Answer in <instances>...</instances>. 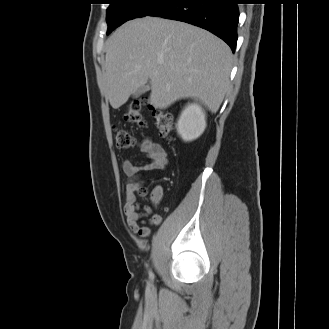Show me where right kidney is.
Wrapping results in <instances>:
<instances>
[{"mask_svg": "<svg viewBox=\"0 0 329 329\" xmlns=\"http://www.w3.org/2000/svg\"><path fill=\"white\" fill-rule=\"evenodd\" d=\"M177 132L185 141L197 139L206 128V114L197 103L188 104L177 122Z\"/></svg>", "mask_w": 329, "mask_h": 329, "instance_id": "obj_1", "label": "right kidney"}]
</instances>
